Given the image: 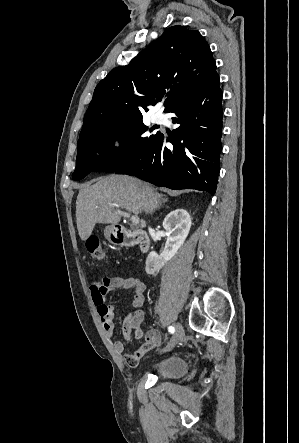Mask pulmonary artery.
Returning <instances> with one entry per match:
<instances>
[{
    "mask_svg": "<svg viewBox=\"0 0 299 443\" xmlns=\"http://www.w3.org/2000/svg\"><path fill=\"white\" fill-rule=\"evenodd\" d=\"M152 120H153L154 122H156V123L162 122V121H163V115H162L161 113H159V112L154 113V114L152 115Z\"/></svg>",
    "mask_w": 299,
    "mask_h": 443,
    "instance_id": "obj_1",
    "label": "pulmonary artery"
}]
</instances>
